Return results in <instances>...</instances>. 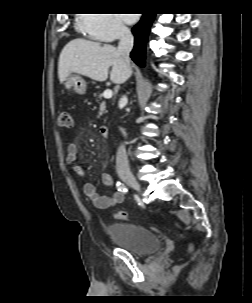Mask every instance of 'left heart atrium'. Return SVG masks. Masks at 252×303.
<instances>
[{"label":"left heart atrium","instance_id":"39dd6f15","mask_svg":"<svg viewBox=\"0 0 252 303\" xmlns=\"http://www.w3.org/2000/svg\"><path fill=\"white\" fill-rule=\"evenodd\" d=\"M122 17L127 23H134L137 19L136 14H122Z\"/></svg>","mask_w":252,"mask_h":303}]
</instances>
